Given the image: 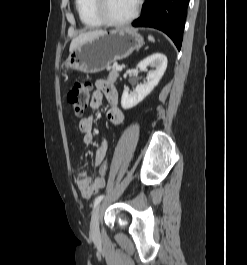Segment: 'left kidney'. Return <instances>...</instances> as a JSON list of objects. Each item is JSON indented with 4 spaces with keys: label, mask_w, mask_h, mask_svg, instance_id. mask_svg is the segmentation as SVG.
I'll use <instances>...</instances> for the list:
<instances>
[{
    "label": "left kidney",
    "mask_w": 247,
    "mask_h": 265,
    "mask_svg": "<svg viewBox=\"0 0 247 265\" xmlns=\"http://www.w3.org/2000/svg\"><path fill=\"white\" fill-rule=\"evenodd\" d=\"M149 66L155 68V70L148 72L145 83L137 85L133 92L123 91L121 97L123 109L127 110L136 106L158 85L167 67V57L162 53H155L138 64V68L143 72L147 71Z\"/></svg>",
    "instance_id": "5707ae66"
}]
</instances>
